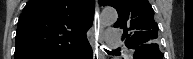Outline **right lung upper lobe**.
<instances>
[{
  "instance_id": "cb5924a9",
  "label": "right lung upper lobe",
  "mask_w": 193,
  "mask_h": 59,
  "mask_svg": "<svg viewBox=\"0 0 193 59\" xmlns=\"http://www.w3.org/2000/svg\"><path fill=\"white\" fill-rule=\"evenodd\" d=\"M94 0H30L18 20L15 59H65L88 40Z\"/></svg>"
}]
</instances>
